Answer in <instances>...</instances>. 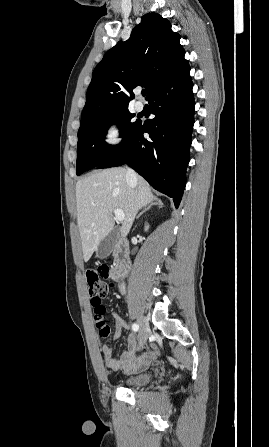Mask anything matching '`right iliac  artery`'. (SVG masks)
Listing matches in <instances>:
<instances>
[{
    "label": "right iliac artery",
    "instance_id": "right-iliac-artery-1",
    "mask_svg": "<svg viewBox=\"0 0 269 447\" xmlns=\"http://www.w3.org/2000/svg\"><path fill=\"white\" fill-rule=\"evenodd\" d=\"M132 329H133L135 332L138 331V329H139V325L136 324V323H134V324L132 325Z\"/></svg>",
    "mask_w": 269,
    "mask_h": 447
}]
</instances>
